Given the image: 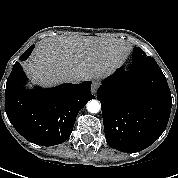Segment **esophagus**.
Returning <instances> with one entry per match:
<instances>
[{
  "label": "esophagus",
  "instance_id": "34e87169",
  "mask_svg": "<svg viewBox=\"0 0 178 178\" xmlns=\"http://www.w3.org/2000/svg\"><path fill=\"white\" fill-rule=\"evenodd\" d=\"M100 86V83L98 81H93L91 85V92L92 94H96L98 88Z\"/></svg>",
  "mask_w": 178,
  "mask_h": 178
}]
</instances>
